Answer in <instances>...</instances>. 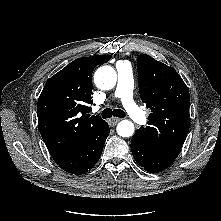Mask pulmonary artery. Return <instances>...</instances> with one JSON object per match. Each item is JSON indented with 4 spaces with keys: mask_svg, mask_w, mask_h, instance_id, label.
<instances>
[{
    "mask_svg": "<svg viewBox=\"0 0 221 221\" xmlns=\"http://www.w3.org/2000/svg\"><path fill=\"white\" fill-rule=\"evenodd\" d=\"M118 83L115 96L120 99L130 118L138 124L147 122L146 114L137 106L133 98V74L128 62H119L116 66Z\"/></svg>",
    "mask_w": 221,
    "mask_h": 221,
    "instance_id": "obj_1",
    "label": "pulmonary artery"
}]
</instances>
